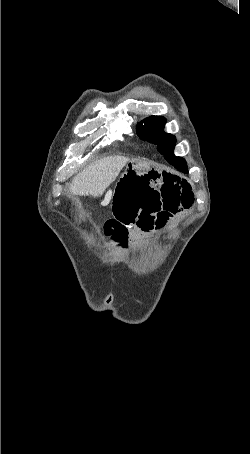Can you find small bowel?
Masks as SVG:
<instances>
[{
	"instance_id": "obj_1",
	"label": "small bowel",
	"mask_w": 250,
	"mask_h": 454,
	"mask_svg": "<svg viewBox=\"0 0 250 454\" xmlns=\"http://www.w3.org/2000/svg\"><path fill=\"white\" fill-rule=\"evenodd\" d=\"M193 201L192 187L185 179L129 171L114 187V217L107 221L105 231L124 246L129 241V227L136 226L144 232L162 228L175 215L190 208Z\"/></svg>"
}]
</instances>
